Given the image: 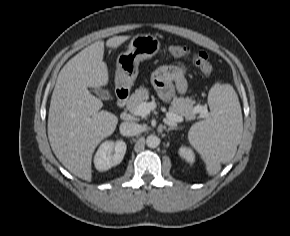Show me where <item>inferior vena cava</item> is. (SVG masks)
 <instances>
[{"label":"inferior vena cava","mask_w":290,"mask_h":236,"mask_svg":"<svg viewBox=\"0 0 290 236\" xmlns=\"http://www.w3.org/2000/svg\"><path fill=\"white\" fill-rule=\"evenodd\" d=\"M119 130L123 136H134L139 132V126L134 122H123Z\"/></svg>","instance_id":"obj_1"}]
</instances>
